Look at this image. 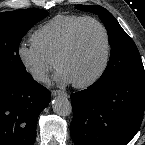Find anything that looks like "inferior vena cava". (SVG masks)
Listing matches in <instances>:
<instances>
[{
    "label": "inferior vena cava",
    "mask_w": 145,
    "mask_h": 145,
    "mask_svg": "<svg viewBox=\"0 0 145 145\" xmlns=\"http://www.w3.org/2000/svg\"><path fill=\"white\" fill-rule=\"evenodd\" d=\"M34 77L36 78V79H41V80H45L47 77H46V75L44 74V73H37V74H34Z\"/></svg>",
    "instance_id": "602c4592"
}]
</instances>
